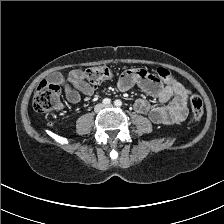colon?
I'll return each mask as SVG.
<instances>
[{
  "instance_id": "colon-1",
  "label": "colon",
  "mask_w": 224,
  "mask_h": 224,
  "mask_svg": "<svg viewBox=\"0 0 224 224\" xmlns=\"http://www.w3.org/2000/svg\"><path fill=\"white\" fill-rule=\"evenodd\" d=\"M158 76L167 82L173 80L172 73L166 68L157 70ZM83 78L91 84H99L110 80L113 72L105 66H92L83 72ZM60 106V87L57 84L46 81L41 82L35 90L33 107L38 113H47ZM190 108L194 121H199L203 115V100L198 94L190 97Z\"/></svg>"
}]
</instances>
